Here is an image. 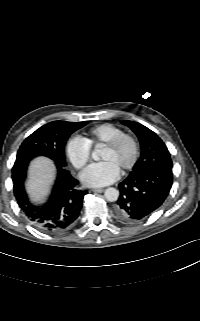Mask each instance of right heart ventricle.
<instances>
[{
	"mask_svg": "<svg viewBox=\"0 0 200 321\" xmlns=\"http://www.w3.org/2000/svg\"><path fill=\"white\" fill-rule=\"evenodd\" d=\"M122 133L124 130L121 127L111 123H103L91 128L84 139L90 147H94L105 144Z\"/></svg>",
	"mask_w": 200,
	"mask_h": 321,
	"instance_id": "obj_1",
	"label": "right heart ventricle"
}]
</instances>
